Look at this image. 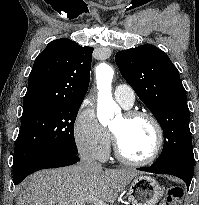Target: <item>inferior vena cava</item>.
<instances>
[{
	"mask_svg": "<svg viewBox=\"0 0 199 205\" xmlns=\"http://www.w3.org/2000/svg\"><path fill=\"white\" fill-rule=\"evenodd\" d=\"M80 167L85 171L101 170L102 166L99 164L91 153L82 151L80 153Z\"/></svg>",
	"mask_w": 199,
	"mask_h": 205,
	"instance_id": "1",
	"label": "inferior vena cava"
}]
</instances>
